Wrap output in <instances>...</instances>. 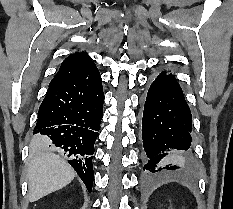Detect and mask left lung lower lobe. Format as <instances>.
Instances as JSON below:
<instances>
[{
  "label": "left lung lower lobe",
  "mask_w": 233,
  "mask_h": 209,
  "mask_svg": "<svg viewBox=\"0 0 233 209\" xmlns=\"http://www.w3.org/2000/svg\"><path fill=\"white\" fill-rule=\"evenodd\" d=\"M192 116L172 74L161 72L151 84L142 119L144 170H175L190 163Z\"/></svg>",
  "instance_id": "0a47b994"
}]
</instances>
